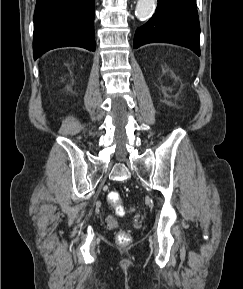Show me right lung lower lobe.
I'll list each match as a JSON object with an SVG mask.
<instances>
[{
	"instance_id": "right-lung-lower-lobe-1",
	"label": "right lung lower lobe",
	"mask_w": 243,
	"mask_h": 289,
	"mask_svg": "<svg viewBox=\"0 0 243 289\" xmlns=\"http://www.w3.org/2000/svg\"><path fill=\"white\" fill-rule=\"evenodd\" d=\"M77 46L94 51V0H37L33 54Z\"/></svg>"
}]
</instances>
